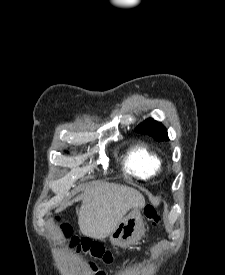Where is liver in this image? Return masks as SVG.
Wrapping results in <instances>:
<instances>
[{
	"label": "liver",
	"mask_w": 225,
	"mask_h": 275,
	"mask_svg": "<svg viewBox=\"0 0 225 275\" xmlns=\"http://www.w3.org/2000/svg\"><path fill=\"white\" fill-rule=\"evenodd\" d=\"M80 200L83 201L78 215L80 230L83 234L100 240L110 235L130 209L145 205L143 195L134 188L98 183L73 200L62 203L56 212Z\"/></svg>",
	"instance_id": "liver-1"
}]
</instances>
